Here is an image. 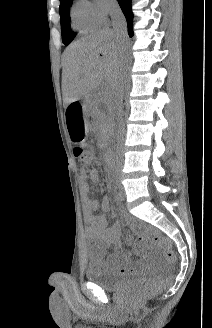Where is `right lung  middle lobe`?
Listing matches in <instances>:
<instances>
[{
  "instance_id": "obj_1",
  "label": "right lung middle lobe",
  "mask_w": 212,
  "mask_h": 328,
  "mask_svg": "<svg viewBox=\"0 0 212 328\" xmlns=\"http://www.w3.org/2000/svg\"><path fill=\"white\" fill-rule=\"evenodd\" d=\"M73 0H60V22H61V31H62V40L63 44L69 45L74 39L75 34L72 32L70 27V16L69 8Z\"/></svg>"
}]
</instances>
